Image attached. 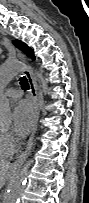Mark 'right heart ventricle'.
<instances>
[{"label": "right heart ventricle", "mask_w": 89, "mask_h": 203, "mask_svg": "<svg viewBox=\"0 0 89 203\" xmlns=\"http://www.w3.org/2000/svg\"><path fill=\"white\" fill-rule=\"evenodd\" d=\"M14 153V148L6 142L5 134L0 133V159H6Z\"/></svg>", "instance_id": "1"}]
</instances>
